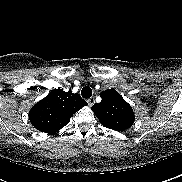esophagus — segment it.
I'll use <instances>...</instances> for the list:
<instances>
[{"label":"esophagus","mask_w":182,"mask_h":182,"mask_svg":"<svg viewBox=\"0 0 182 182\" xmlns=\"http://www.w3.org/2000/svg\"><path fill=\"white\" fill-rule=\"evenodd\" d=\"M87 103H88L89 106H92L95 103L94 97H91V98L87 99Z\"/></svg>","instance_id":"34e87169"}]
</instances>
